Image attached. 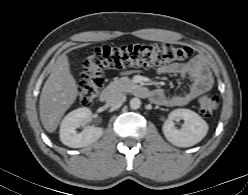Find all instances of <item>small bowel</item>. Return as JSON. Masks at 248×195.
Segmentation results:
<instances>
[{
    "label": "small bowel",
    "mask_w": 248,
    "mask_h": 195,
    "mask_svg": "<svg viewBox=\"0 0 248 195\" xmlns=\"http://www.w3.org/2000/svg\"><path fill=\"white\" fill-rule=\"evenodd\" d=\"M159 74L179 75L190 82L186 92L167 96L161 89L152 92V99L166 107H182L207 92L213 85V77L201 57H195L185 63H172L158 68Z\"/></svg>",
    "instance_id": "obj_1"
}]
</instances>
